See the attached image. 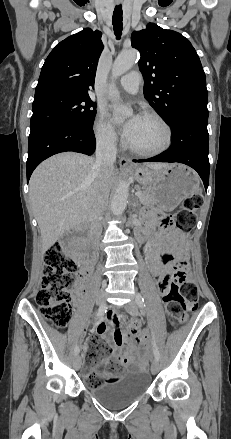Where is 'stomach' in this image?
I'll return each instance as SVG.
<instances>
[{
    "label": "stomach",
    "instance_id": "0dacf381",
    "mask_svg": "<svg viewBox=\"0 0 231 439\" xmlns=\"http://www.w3.org/2000/svg\"><path fill=\"white\" fill-rule=\"evenodd\" d=\"M130 172L155 197L157 208L165 212L174 210L200 190L199 176L185 165L168 164L158 170L136 165Z\"/></svg>",
    "mask_w": 231,
    "mask_h": 439
}]
</instances>
